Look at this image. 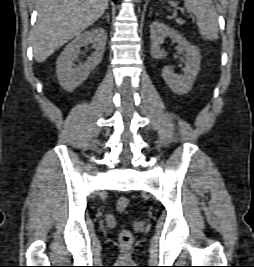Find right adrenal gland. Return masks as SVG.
<instances>
[{"label":"right adrenal gland","mask_w":254,"mask_h":267,"mask_svg":"<svg viewBox=\"0 0 254 267\" xmlns=\"http://www.w3.org/2000/svg\"><path fill=\"white\" fill-rule=\"evenodd\" d=\"M103 18H106L107 21L109 22L110 21V15H109V13H106V15Z\"/></svg>","instance_id":"obj_1"}]
</instances>
